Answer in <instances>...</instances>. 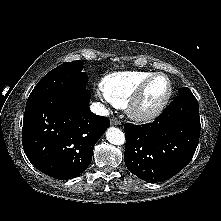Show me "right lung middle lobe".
Masks as SVG:
<instances>
[{
    "mask_svg": "<svg viewBox=\"0 0 221 221\" xmlns=\"http://www.w3.org/2000/svg\"><path fill=\"white\" fill-rule=\"evenodd\" d=\"M80 60L65 62L47 73L35 86L27 105L50 98H68L83 91L88 77Z\"/></svg>",
    "mask_w": 221,
    "mask_h": 221,
    "instance_id": "dd1d6c3e",
    "label": "right lung middle lobe"
}]
</instances>
